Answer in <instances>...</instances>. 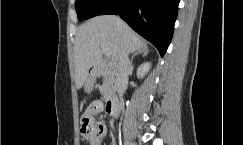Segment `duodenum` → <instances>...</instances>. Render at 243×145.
<instances>
[{
	"label": "duodenum",
	"instance_id": "obj_1",
	"mask_svg": "<svg viewBox=\"0 0 243 145\" xmlns=\"http://www.w3.org/2000/svg\"><path fill=\"white\" fill-rule=\"evenodd\" d=\"M114 72V68L106 65H96L90 70V75L93 78L103 76L108 73ZM119 110V101L115 98H109L106 103V111L111 116H116Z\"/></svg>",
	"mask_w": 243,
	"mask_h": 145
}]
</instances>
